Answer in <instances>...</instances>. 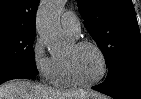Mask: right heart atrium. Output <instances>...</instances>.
Wrapping results in <instances>:
<instances>
[{"instance_id": "obj_1", "label": "right heart atrium", "mask_w": 141, "mask_h": 99, "mask_svg": "<svg viewBox=\"0 0 141 99\" xmlns=\"http://www.w3.org/2000/svg\"><path fill=\"white\" fill-rule=\"evenodd\" d=\"M32 60L39 76L51 82L55 74V58L48 54L40 38H36L32 45Z\"/></svg>"}]
</instances>
